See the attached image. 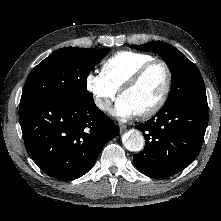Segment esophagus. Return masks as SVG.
<instances>
[{"label":"esophagus","instance_id":"esophagus-1","mask_svg":"<svg viewBox=\"0 0 221 221\" xmlns=\"http://www.w3.org/2000/svg\"><path fill=\"white\" fill-rule=\"evenodd\" d=\"M127 130V126L125 125H120V132H124Z\"/></svg>","mask_w":221,"mask_h":221}]
</instances>
